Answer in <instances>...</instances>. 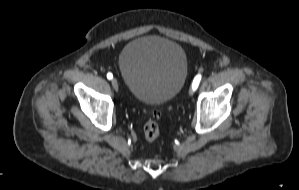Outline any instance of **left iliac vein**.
<instances>
[{"mask_svg": "<svg viewBox=\"0 0 299 190\" xmlns=\"http://www.w3.org/2000/svg\"><path fill=\"white\" fill-rule=\"evenodd\" d=\"M193 93H194V90H193V88H191V89L189 90V94H190V95H193Z\"/></svg>", "mask_w": 299, "mask_h": 190, "instance_id": "obj_1", "label": "left iliac vein"}]
</instances>
